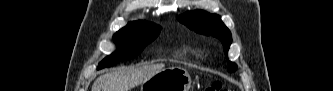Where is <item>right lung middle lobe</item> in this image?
<instances>
[{
	"mask_svg": "<svg viewBox=\"0 0 333 91\" xmlns=\"http://www.w3.org/2000/svg\"><path fill=\"white\" fill-rule=\"evenodd\" d=\"M159 32L160 27L153 23H129L114 34L113 39L118 46L117 52L100 62L98 69L110 67L119 61L136 57L147 44L158 36Z\"/></svg>",
	"mask_w": 333,
	"mask_h": 91,
	"instance_id": "obj_1",
	"label": "right lung middle lobe"
}]
</instances>
